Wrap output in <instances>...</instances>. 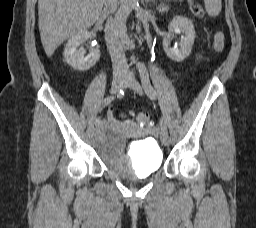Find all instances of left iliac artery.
I'll return each mask as SVG.
<instances>
[{"label":"left iliac artery","mask_w":256,"mask_h":228,"mask_svg":"<svg viewBox=\"0 0 256 228\" xmlns=\"http://www.w3.org/2000/svg\"><path fill=\"white\" fill-rule=\"evenodd\" d=\"M138 69H139V74H140V78H141V83H142V86H143L146 94L149 96V98L156 99L157 95L150 83L149 74H148L146 66L143 63H139ZM160 126H161L162 130L167 131L166 122L163 118L160 119Z\"/></svg>","instance_id":"left-iliac-artery-1"}]
</instances>
